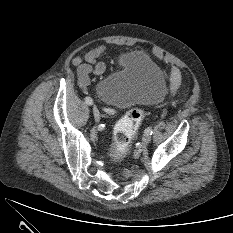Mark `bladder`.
Listing matches in <instances>:
<instances>
[{
	"label": "bladder",
	"mask_w": 233,
	"mask_h": 233,
	"mask_svg": "<svg viewBox=\"0 0 233 233\" xmlns=\"http://www.w3.org/2000/svg\"><path fill=\"white\" fill-rule=\"evenodd\" d=\"M96 90L103 103L124 110L161 102L167 83L162 69L146 53L133 51L122 57L119 69L101 80Z\"/></svg>",
	"instance_id": "obj_1"
}]
</instances>
